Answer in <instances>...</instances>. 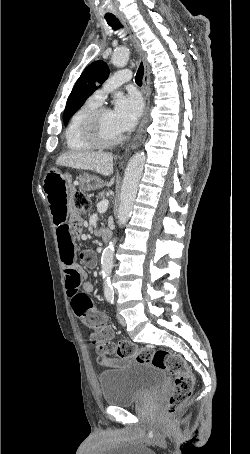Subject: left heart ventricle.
Here are the masks:
<instances>
[{
  "mask_svg": "<svg viewBox=\"0 0 250 454\" xmlns=\"http://www.w3.org/2000/svg\"><path fill=\"white\" fill-rule=\"evenodd\" d=\"M100 125L102 133L106 138L111 139L122 135V133L118 131L114 124L113 114L110 110L103 113Z\"/></svg>",
  "mask_w": 250,
  "mask_h": 454,
  "instance_id": "b2bd125f",
  "label": "left heart ventricle"
}]
</instances>
